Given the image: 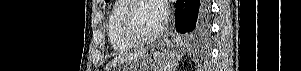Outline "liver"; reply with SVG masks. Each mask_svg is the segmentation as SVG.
<instances>
[{"label": "liver", "instance_id": "liver-1", "mask_svg": "<svg viewBox=\"0 0 301 71\" xmlns=\"http://www.w3.org/2000/svg\"><path fill=\"white\" fill-rule=\"evenodd\" d=\"M145 54H146V51L142 50V51L133 52V53H129V54L118 55L106 65V70H109L112 66L123 63L125 61L136 60Z\"/></svg>", "mask_w": 301, "mask_h": 71}]
</instances>
